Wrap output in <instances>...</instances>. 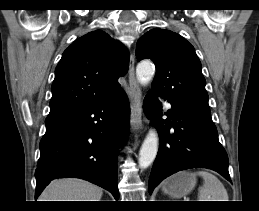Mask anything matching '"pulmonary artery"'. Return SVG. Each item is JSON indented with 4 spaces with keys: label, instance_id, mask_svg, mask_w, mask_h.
I'll use <instances>...</instances> for the list:
<instances>
[{
    "label": "pulmonary artery",
    "instance_id": "e3ab8cb5",
    "mask_svg": "<svg viewBox=\"0 0 259 211\" xmlns=\"http://www.w3.org/2000/svg\"><path fill=\"white\" fill-rule=\"evenodd\" d=\"M163 104H164V107H165V108H169V107H170V104H169V102H167V101H164Z\"/></svg>",
    "mask_w": 259,
    "mask_h": 211
}]
</instances>
